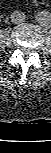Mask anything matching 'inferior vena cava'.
Masks as SVG:
<instances>
[{"mask_svg":"<svg viewBox=\"0 0 51 153\" xmlns=\"http://www.w3.org/2000/svg\"><path fill=\"white\" fill-rule=\"evenodd\" d=\"M10 18L14 24H21L25 21L26 15L22 11H14Z\"/></svg>","mask_w":51,"mask_h":153,"instance_id":"inferior-vena-cava-1","label":"inferior vena cava"}]
</instances>
